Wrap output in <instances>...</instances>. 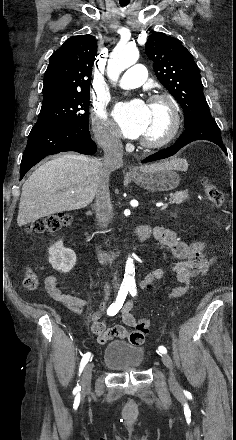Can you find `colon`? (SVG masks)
Masks as SVG:
<instances>
[{"label":"colon","instance_id":"1","mask_svg":"<svg viewBox=\"0 0 236 440\" xmlns=\"http://www.w3.org/2000/svg\"><path fill=\"white\" fill-rule=\"evenodd\" d=\"M203 189L210 199V201L216 206L220 207L224 202V197L222 191L207 178L202 179ZM71 222V216L68 214H55L48 216L43 219L36 220L29 227V231L35 234H45V233H54L63 227L67 226ZM24 286L28 289H34L38 285V278L36 274L32 271H28L24 280ZM150 323L147 319H141L136 326L135 330H140L143 333L142 338L140 339H128L132 343L144 340L148 331H149ZM122 338V337H121Z\"/></svg>","mask_w":236,"mask_h":440}]
</instances>
